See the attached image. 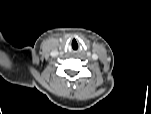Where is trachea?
<instances>
[{"label": "trachea", "instance_id": "trachea-1", "mask_svg": "<svg viewBox=\"0 0 151 114\" xmlns=\"http://www.w3.org/2000/svg\"><path fill=\"white\" fill-rule=\"evenodd\" d=\"M72 48H73L74 50H76V49L78 48V46H77V45L74 46V45L72 44Z\"/></svg>", "mask_w": 151, "mask_h": 114}]
</instances>
